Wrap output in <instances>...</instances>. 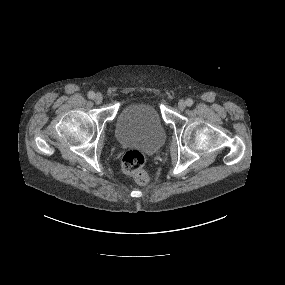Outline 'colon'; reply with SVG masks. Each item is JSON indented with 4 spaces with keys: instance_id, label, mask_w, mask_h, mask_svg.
<instances>
[{
    "instance_id": "obj_1",
    "label": "colon",
    "mask_w": 285,
    "mask_h": 285,
    "mask_svg": "<svg viewBox=\"0 0 285 285\" xmlns=\"http://www.w3.org/2000/svg\"><path fill=\"white\" fill-rule=\"evenodd\" d=\"M144 165L145 155L139 150H130L123 156L122 166L124 172L142 185L149 182V177L144 169Z\"/></svg>"
}]
</instances>
